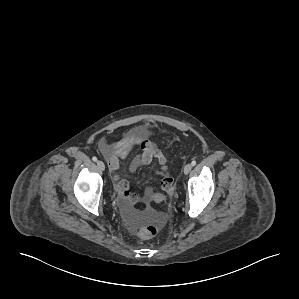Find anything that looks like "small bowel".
<instances>
[{
    "label": "small bowel",
    "mask_w": 299,
    "mask_h": 299,
    "mask_svg": "<svg viewBox=\"0 0 299 299\" xmlns=\"http://www.w3.org/2000/svg\"><path fill=\"white\" fill-rule=\"evenodd\" d=\"M150 136L151 133L146 129H134L117 142L109 143L102 141L100 143V150L109 163L121 207L128 217H134L136 215V205L146 204L153 196L151 188H146L142 194L130 192L128 182L120 175L119 169L121 162L134 150L140 149L141 152L131 159L129 163L130 171H134L142 165H149L153 161H156L163 170L161 188L163 190H169L172 185V178L166 172V157L150 139ZM167 185L169 186L168 188Z\"/></svg>",
    "instance_id": "obj_1"
}]
</instances>
